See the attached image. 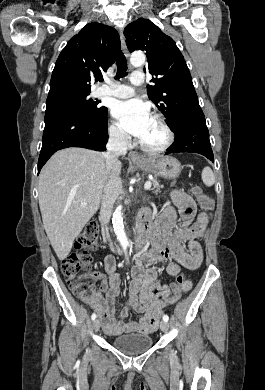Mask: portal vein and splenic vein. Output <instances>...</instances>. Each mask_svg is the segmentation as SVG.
<instances>
[{"instance_id":"1","label":"portal vein and splenic vein","mask_w":265,"mask_h":390,"mask_svg":"<svg viewBox=\"0 0 265 390\" xmlns=\"http://www.w3.org/2000/svg\"><path fill=\"white\" fill-rule=\"evenodd\" d=\"M151 186H152L151 181H147V182L145 183V185H144V189H145V190H149V189L151 188ZM81 205H82V206H86L87 204H86V203H81Z\"/></svg>"}]
</instances>
